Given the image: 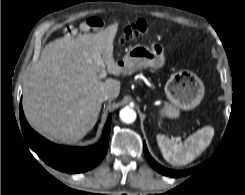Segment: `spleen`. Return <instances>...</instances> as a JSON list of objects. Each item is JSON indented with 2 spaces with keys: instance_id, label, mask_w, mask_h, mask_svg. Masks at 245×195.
<instances>
[{
  "instance_id": "1",
  "label": "spleen",
  "mask_w": 245,
  "mask_h": 195,
  "mask_svg": "<svg viewBox=\"0 0 245 195\" xmlns=\"http://www.w3.org/2000/svg\"><path fill=\"white\" fill-rule=\"evenodd\" d=\"M213 135L214 129L206 126L180 144L163 134L156 138L164 159L172 165L182 166L198 157L208 147Z\"/></svg>"
}]
</instances>
